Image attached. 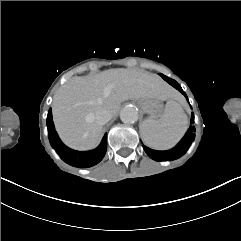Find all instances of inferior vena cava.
Instances as JSON below:
<instances>
[{"mask_svg": "<svg viewBox=\"0 0 241 241\" xmlns=\"http://www.w3.org/2000/svg\"><path fill=\"white\" fill-rule=\"evenodd\" d=\"M112 115L109 111L101 109L97 113H89L86 115L85 120L88 123L96 122L99 125H104L110 121Z\"/></svg>", "mask_w": 241, "mask_h": 241, "instance_id": "inferior-vena-cava-1", "label": "inferior vena cava"}]
</instances>
